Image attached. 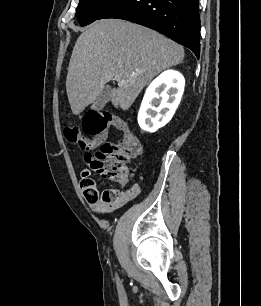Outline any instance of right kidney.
<instances>
[{"instance_id": "ca27d5eb", "label": "right kidney", "mask_w": 261, "mask_h": 306, "mask_svg": "<svg viewBox=\"0 0 261 306\" xmlns=\"http://www.w3.org/2000/svg\"><path fill=\"white\" fill-rule=\"evenodd\" d=\"M185 79L175 70H167L146 89L138 113L141 129L150 133L165 126L173 117L184 92Z\"/></svg>"}]
</instances>
